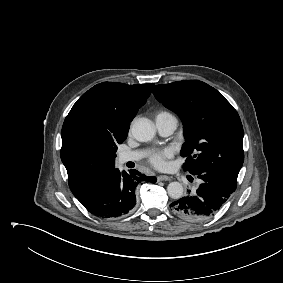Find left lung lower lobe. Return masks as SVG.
I'll list each match as a JSON object with an SVG mask.
<instances>
[{
  "label": "left lung lower lobe",
  "instance_id": "0a47b994",
  "mask_svg": "<svg viewBox=\"0 0 283 283\" xmlns=\"http://www.w3.org/2000/svg\"><path fill=\"white\" fill-rule=\"evenodd\" d=\"M196 190L171 203L173 213L187 221H204L214 216L237 187V180L216 173L196 175Z\"/></svg>",
  "mask_w": 283,
  "mask_h": 283
}]
</instances>
